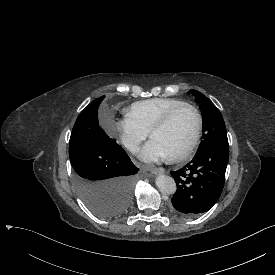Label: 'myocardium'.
<instances>
[{"label":"myocardium","instance_id":"f54148a6","mask_svg":"<svg viewBox=\"0 0 275 275\" xmlns=\"http://www.w3.org/2000/svg\"><path fill=\"white\" fill-rule=\"evenodd\" d=\"M188 109L193 113L194 116V120H195V128H194V133L193 136L191 138V140L189 141V143L179 152H177L176 154L169 156L170 161H179L185 157H187L192 151L193 149L196 147L199 139H200V135H201V130H202V119L201 116L199 114V111L197 110V108L191 104H183V105H179L177 107H174L173 109H171L159 122H157L151 129L150 133V137L153 138V135L160 131L163 130L165 128H167L170 123L172 122L174 116L179 113L182 110Z\"/></svg>","mask_w":275,"mask_h":275}]
</instances>
